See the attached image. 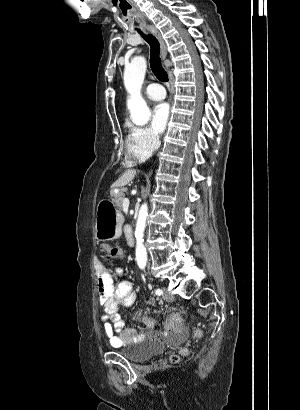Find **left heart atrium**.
Listing matches in <instances>:
<instances>
[{"label": "left heart atrium", "mask_w": 300, "mask_h": 410, "mask_svg": "<svg viewBox=\"0 0 300 410\" xmlns=\"http://www.w3.org/2000/svg\"><path fill=\"white\" fill-rule=\"evenodd\" d=\"M170 119V107L167 103H159L153 108L152 126L158 133H163Z\"/></svg>", "instance_id": "obj_1"}]
</instances>
